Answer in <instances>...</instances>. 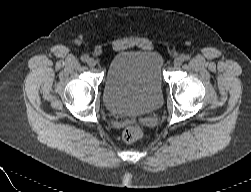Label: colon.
<instances>
[{
  "instance_id": "5ec220e1",
  "label": "colon",
  "mask_w": 251,
  "mask_h": 192,
  "mask_svg": "<svg viewBox=\"0 0 251 192\" xmlns=\"http://www.w3.org/2000/svg\"><path fill=\"white\" fill-rule=\"evenodd\" d=\"M143 136V131L138 125L127 126L122 133L123 140L132 143L139 140Z\"/></svg>"
}]
</instances>
